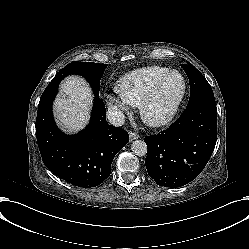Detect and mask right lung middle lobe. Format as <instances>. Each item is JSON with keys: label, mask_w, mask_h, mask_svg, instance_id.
I'll list each match as a JSON object with an SVG mask.
<instances>
[{"label": "right lung middle lobe", "mask_w": 249, "mask_h": 249, "mask_svg": "<svg viewBox=\"0 0 249 249\" xmlns=\"http://www.w3.org/2000/svg\"><path fill=\"white\" fill-rule=\"evenodd\" d=\"M106 67L107 64L75 61L61 69L56 77L59 78L60 81L68 74H79L89 82L95 96H99L100 79Z\"/></svg>", "instance_id": "right-lung-middle-lobe-1"}]
</instances>
